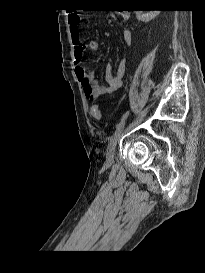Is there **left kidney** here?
<instances>
[{"label":"left kidney","instance_id":"obj_1","mask_svg":"<svg viewBox=\"0 0 205 273\" xmlns=\"http://www.w3.org/2000/svg\"><path fill=\"white\" fill-rule=\"evenodd\" d=\"M136 17L139 21L149 22L160 13V10H136Z\"/></svg>","mask_w":205,"mask_h":273}]
</instances>
